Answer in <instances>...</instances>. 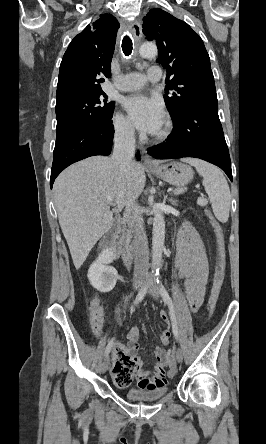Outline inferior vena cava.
<instances>
[{
  "label": "inferior vena cava",
  "mask_w": 266,
  "mask_h": 444,
  "mask_svg": "<svg viewBox=\"0 0 266 444\" xmlns=\"http://www.w3.org/2000/svg\"><path fill=\"white\" fill-rule=\"evenodd\" d=\"M113 160L119 165L122 172H128L135 153V134L132 126H125L115 135ZM135 200L126 204L124 217L134 234L135 269L148 270V258L144 255L147 249V237L144 230V222Z\"/></svg>",
  "instance_id": "1"
}]
</instances>
